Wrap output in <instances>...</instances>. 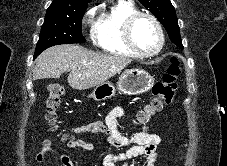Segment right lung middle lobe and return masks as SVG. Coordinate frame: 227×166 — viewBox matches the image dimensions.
Instances as JSON below:
<instances>
[{
    "label": "right lung middle lobe",
    "mask_w": 227,
    "mask_h": 166,
    "mask_svg": "<svg viewBox=\"0 0 227 166\" xmlns=\"http://www.w3.org/2000/svg\"><path fill=\"white\" fill-rule=\"evenodd\" d=\"M84 10L48 12L41 28L34 57L43 50L59 44L84 43L82 18Z\"/></svg>",
    "instance_id": "1"
}]
</instances>
